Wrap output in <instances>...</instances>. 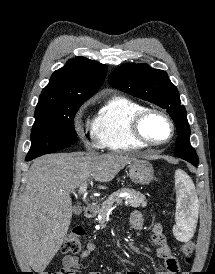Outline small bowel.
Here are the masks:
<instances>
[{
	"label": "small bowel",
	"instance_id": "1",
	"mask_svg": "<svg viewBox=\"0 0 215 274\" xmlns=\"http://www.w3.org/2000/svg\"><path fill=\"white\" fill-rule=\"evenodd\" d=\"M130 223L133 229L141 230L145 226V220L143 215L134 211L130 218ZM152 243L155 246V253L158 258L164 261L165 268L157 271L155 274H177L180 272V267L177 258L172 254L171 249L168 245L167 239L163 234L162 227L159 223L152 225ZM97 245L94 241H89L86 244L85 249L77 256L66 255L63 258V270L66 274H76L81 262L90 257L96 250ZM88 274H101L97 271L89 272ZM114 274H123L122 272H115ZM134 274V273H129ZM181 274H188L182 272Z\"/></svg>",
	"mask_w": 215,
	"mask_h": 274
}]
</instances>
